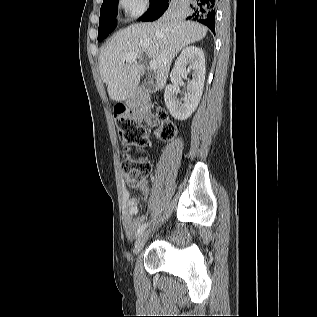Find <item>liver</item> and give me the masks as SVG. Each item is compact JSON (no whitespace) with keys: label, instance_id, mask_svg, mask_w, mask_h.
Returning <instances> with one entry per match:
<instances>
[{"label":"liver","instance_id":"liver-1","mask_svg":"<svg viewBox=\"0 0 317 317\" xmlns=\"http://www.w3.org/2000/svg\"><path fill=\"white\" fill-rule=\"evenodd\" d=\"M207 28L185 21L179 15H167L154 23L130 25L118 31L99 55V70L107 85L109 97L117 102L132 95L145 73V66L136 60L126 62L124 56L143 53L157 62V89L166 85L170 66L179 51L203 39Z\"/></svg>","mask_w":317,"mask_h":317}]
</instances>
